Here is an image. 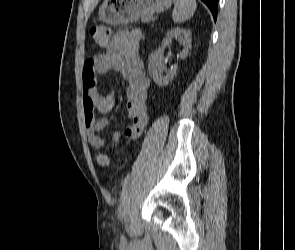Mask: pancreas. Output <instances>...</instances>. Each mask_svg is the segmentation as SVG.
I'll return each mask as SVG.
<instances>
[{"label":"pancreas","mask_w":295,"mask_h":250,"mask_svg":"<svg viewBox=\"0 0 295 250\" xmlns=\"http://www.w3.org/2000/svg\"><path fill=\"white\" fill-rule=\"evenodd\" d=\"M151 19H152V17L150 15H147V16L142 18V22L147 23V22L151 21Z\"/></svg>","instance_id":"1"}]
</instances>
